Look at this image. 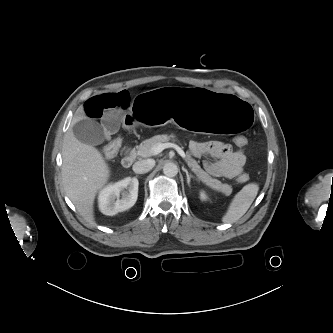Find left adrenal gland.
I'll use <instances>...</instances> for the list:
<instances>
[{
    "label": "left adrenal gland",
    "instance_id": "left-adrenal-gland-1",
    "mask_svg": "<svg viewBox=\"0 0 333 333\" xmlns=\"http://www.w3.org/2000/svg\"><path fill=\"white\" fill-rule=\"evenodd\" d=\"M183 171L186 173L188 186H190L191 179L198 181V179L195 178V176L189 174L187 169L183 168Z\"/></svg>",
    "mask_w": 333,
    "mask_h": 333
}]
</instances>
